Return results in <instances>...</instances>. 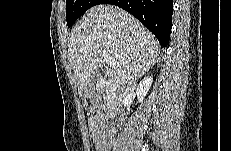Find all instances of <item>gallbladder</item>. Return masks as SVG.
<instances>
[{"instance_id":"gallbladder-1","label":"gallbladder","mask_w":231,"mask_h":151,"mask_svg":"<svg viewBox=\"0 0 231 151\" xmlns=\"http://www.w3.org/2000/svg\"><path fill=\"white\" fill-rule=\"evenodd\" d=\"M99 77H100L99 69H95V71H94V73H93V75H92V77L90 79L89 84L87 85V87L84 90L83 95L85 97H89L90 96V94L92 92V89L94 88V86H95L97 80L99 79Z\"/></svg>"}]
</instances>
